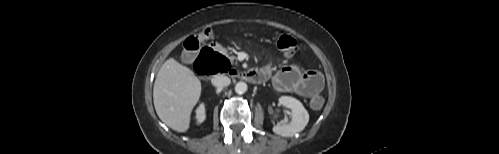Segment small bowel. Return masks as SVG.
<instances>
[{
	"label": "small bowel",
	"mask_w": 499,
	"mask_h": 154,
	"mask_svg": "<svg viewBox=\"0 0 499 154\" xmlns=\"http://www.w3.org/2000/svg\"><path fill=\"white\" fill-rule=\"evenodd\" d=\"M259 71L267 80L271 76L272 68L267 65ZM272 84L278 92H294L302 97L311 98L322 91L324 81L322 75L315 70L302 71L296 65H289L274 75Z\"/></svg>",
	"instance_id": "1"
}]
</instances>
